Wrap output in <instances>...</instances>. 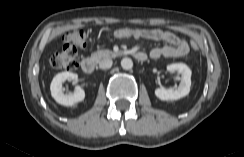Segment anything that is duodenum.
I'll return each instance as SVG.
<instances>
[{"label":"duodenum","instance_id":"duodenum-1","mask_svg":"<svg viewBox=\"0 0 244 157\" xmlns=\"http://www.w3.org/2000/svg\"><path fill=\"white\" fill-rule=\"evenodd\" d=\"M134 57L138 61H145L147 59V55L143 52H135ZM81 69L86 74H91L95 71L96 62L93 58L85 57L80 62Z\"/></svg>","mask_w":244,"mask_h":157}]
</instances>
